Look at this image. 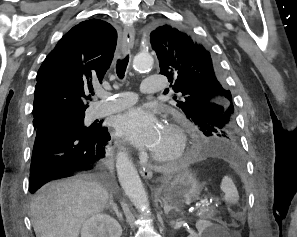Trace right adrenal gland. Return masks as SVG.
<instances>
[{"mask_svg":"<svg viewBox=\"0 0 297 237\" xmlns=\"http://www.w3.org/2000/svg\"><path fill=\"white\" fill-rule=\"evenodd\" d=\"M105 208L109 209L110 211H114L115 214L117 215L119 221H123V216L119 212L117 204L113 201L112 195L109 197V202H108V204H106Z\"/></svg>","mask_w":297,"mask_h":237,"instance_id":"2a0ac1e0","label":"right adrenal gland"}]
</instances>
